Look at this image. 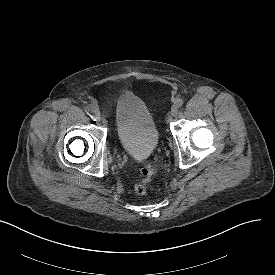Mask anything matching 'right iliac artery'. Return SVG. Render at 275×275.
I'll list each match as a JSON object with an SVG mask.
<instances>
[{
	"label": "right iliac artery",
	"instance_id": "obj_1",
	"mask_svg": "<svg viewBox=\"0 0 275 275\" xmlns=\"http://www.w3.org/2000/svg\"><path fill=\"white\" fill-rule=\"evenodd\" d=\"M87 110L89 111V112H94V110H95V106L94 105H88L87 106Z\"/></svg>",
	"mask_w": 275,
	"mask_h": 275
}]
</instances>
